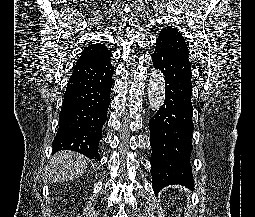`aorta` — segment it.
Returning <instances> with one entry per match:
<instances>
[{
	"label": "aorta",
	"mask_w": 255,
	"mask_h": 217,
	"mask_svg": "<svg viewBox=\"0 0 255 217\" xmlns=\"http://www.w3.org/2000/svg\"><path fill=\"white\" fill-rule=\"evenodd\" d=\"M149 105L152 111H158L165 100V80L161 71H153L148 87Z\"/></svg>",
	"instance_id": "762f6f07"
}]
</instances>
